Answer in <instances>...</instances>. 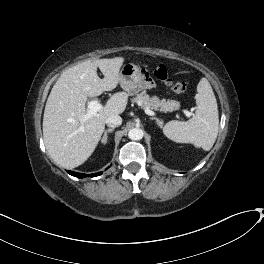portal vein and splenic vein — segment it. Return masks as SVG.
Listing matches in <instances>:
<instances>
[{
    "mask_svg": "<svg viewBox=\"0 0 264 264\" xmlns=\"http://www.w3.org/2000/svg\"><path fill=\"white\" fill-rule=\"evenodd\" d=\"M102 109V104H101V100H92L90 102H88L87 104V113L84 116V120L90 118L91 116H93L94 114H96L98 111H100ZM184 114L188 117L191 116V112H189L188 110L184 109L183 110ZM145 113L147 115H154L155 113L150 110V109H145Z\"/></svg>",
    "mask_w": 264,
    "mask_h": 264,
    "instance_id": "1",
    "label": "portal vein and splenic vein"
}]
</instances>
